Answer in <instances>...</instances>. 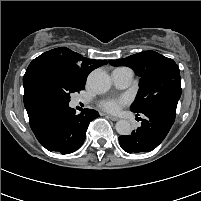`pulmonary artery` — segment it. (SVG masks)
I'll list each match as a JSON object with an SVG mask.
<instances>
[{"mask_svg":"<svg viewBox=\"0 0 201 201\" xmlns=\"http://www.w3.org/2000/svg\"><path fill=\"white\" fill-rule=\"evenodd\" d=\"M111 76L114 85L118 88L123 89L131 84L133 79V72L129 68L120 67L113 70Z\"/></svg>","mask_w":201,"mask_h":201,"instance_id":"pulmonary-artery-1","label":"pulmonary artery"}]
</instances>
